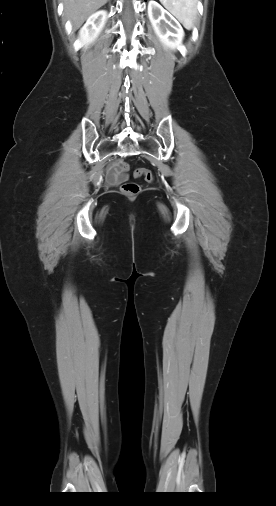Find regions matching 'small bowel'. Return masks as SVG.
Returning <instances> with one entry per match:
<instances>
[{
	"label": "small bowel",
	"mask_w": 276,
	"mask_h": 506,
	"mask_svg": "<svg viewBox=\"0 0 276 506\" xmlns=\"http://www.w3.org/2000/svg\"><path fill=\"white\" fill-rule=\"evenodd\" d=\"M107 182L110 184H117L120 183L125 179V176L120 174L119 171L116 169L115 165L109 167L107 171L106 176Z\"/></svg>",
	"instance_id": "1"
}]
</instances>
